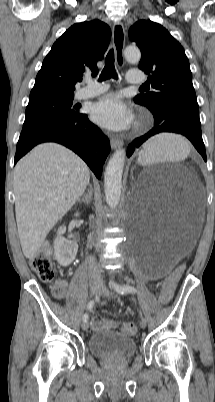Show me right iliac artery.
Here are the masks:
<instances>
[{"label": "right iliac artery", "instance_id": "82829eb1", "mask_svg": "<svg viewBox=\"0 0 215 402\" xmlns=\"http://www.w3.org/2000/svg\"><path fill=\"white\" fill-rule=\"evenodd\" d=\"M97 300H98V296H96L95 299L90 300V301L88 302V304H87V310H90L91 308H93V306H94V304H95V301H97ZM87 320H88V314L85 313V314L83 315V322H87Z\"/></svg>", "mask_w": 215, "mask_h": 402}]
</instances>
